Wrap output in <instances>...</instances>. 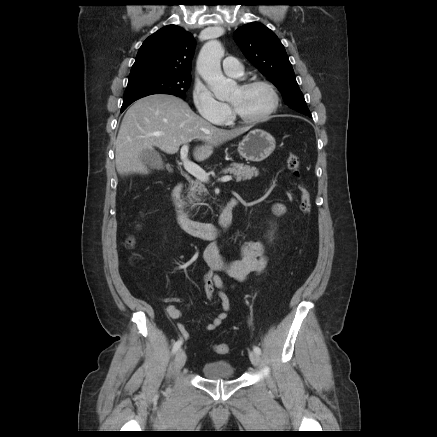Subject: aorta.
Returning a JSON list of instances; mask_svg holds the SVG:
<instances>
[{
  "label": "aorta",
  "instance_id": "aorta-1",
  "mask_svg": "<svg viewBox=\"0 0 437 437\" xmlns=\"http://www.w3.org/2000/svg\"><path fill=\"white\" fill-rule=\"evenodd\" d=\"M223 56L224 49L221 43L211 40L202 47L197 60L199 74L217 99H224L237 89L236 82L226 79L221 71L220 63Z\"/></svg>",
  "mask_w": 437,
  "mask_h": 437
}]
</instances>
